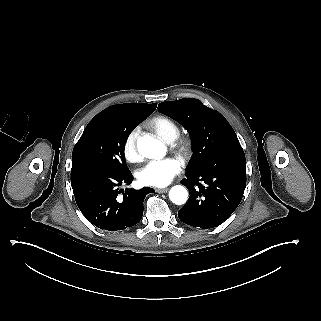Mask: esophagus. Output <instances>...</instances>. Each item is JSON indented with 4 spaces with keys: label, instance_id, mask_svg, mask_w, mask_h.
I'll return each mask as SVG.
<instances>
[{
    "label": "esophagus",
    "instance_id": "34e87169",
    "mask_svg": "<svg viewBox=\"0 0 321 321\" xmlns=\"http://www.w3.org/2000/svg\"><path fill=\"white\" fill-rule=\"evenodd\" d=\"M155 191H156L157 193H165V192L168 191V188H157Z\"/></svg>",
    "mask_w": 321,
    "mask_h": 321
}]
</instances>
